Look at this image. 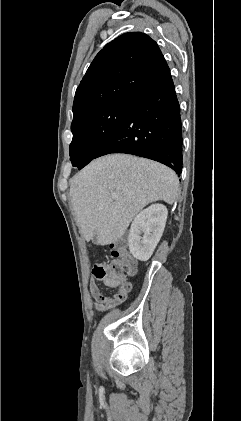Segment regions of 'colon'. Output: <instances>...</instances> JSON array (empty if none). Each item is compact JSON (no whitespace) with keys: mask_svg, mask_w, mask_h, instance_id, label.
I'll return each instance as SVG.
<instances>
[{"mask_svg":"<svg viewBox=\"0 0 241 421\" xmlns=\"http://www.w3.org/2000/svg\"><path fill=\"white\" fill-rule=\"evenodd\" d=\"M135 268V262L126 252L124 245L119 242L113 245L110 256L94 268L93 274L100 281L121 287L129 285L127 278L134 274Z\"/></svg>","mask_w":241,"mask_h":421,"instance_id":"5ec220e1","label":"colon"}]
</instances>
